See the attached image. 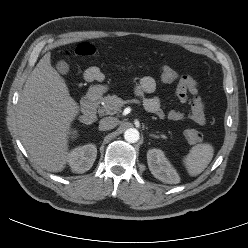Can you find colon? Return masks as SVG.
Segmentation results:
<instances>
[{
  "instance_id": "obj_1",
  "label": "colon",
  "mask_w": 248,
  "mask_h": 248,
  "mask_svg": "<svg viewBox=\"0 0 248 248\" xmlns=\"http://www.w3.org/2000/svg\"><path fill=\"white\" fill-rule=\"evenodd\" d=\"M96 52L97 50L92 44L84 42L77 46L73 54L79 57H89L95 55ZM157 72L160 80L164 83L177 85L181 80V75L168 65H159ZM185 137L192 144L200 143L203 139L202 134L195 129H187Z\"/></svg>"
}]
</instances>
